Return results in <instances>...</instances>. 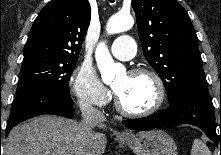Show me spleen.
Instances as JSON below:
<instances>
[{
  "mask_svg": "<svg viewBox=\"0 0 221 155\" xmlns=\"http://www.w3.org/2000/svg\"><path fill=\"white\" fill-rule=\"evenodd\" d=\"M191 155H211V152L201 140L195 139L191 148Z\"/></svg>",
  "mask_w": 221,
  "mask_h": 155,
  "instance_id": "3e777b00",
  "label": "spleen"
}]
</instances>
